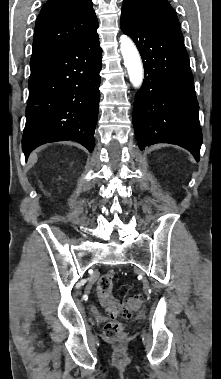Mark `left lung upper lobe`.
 <instances>
[{
  "label": "left lung upper lobe",
  "mask_w": 221,
  "mask_h": 379,
  "mask_svg": "<svg viewBox=\"0 0 221 379\" xmlns=\"http://www.w3.org/2000/svg\"><path fill=\"white\" fill-rule=\"evenodd\" d=\"M148 22L170 29L180 30L175 10L167 0H124Z\"/></svg>",
  "instance_id": "obj_1"
}]
</instances>
